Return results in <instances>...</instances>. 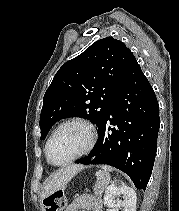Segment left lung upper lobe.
I'll list each match as a JSON object with an SVG mask.
<instances>
[{"label": "left lung upper lobe", "instance_id": "1", "mask_svg": "<svg viewBox=\"0 0 179 211\" xmlns=\"http://www.w3.org/2000/svg\"><path fill=\"white\" fill-rule=\"evenodd\" d=\"M133 58L123 42L106 37L63 64L43 98L40 139H45L55 122L71 116L87 118L100 129Z\"/></svg>", "mask_w": 179, "mask_h": 211}]
</instances>
